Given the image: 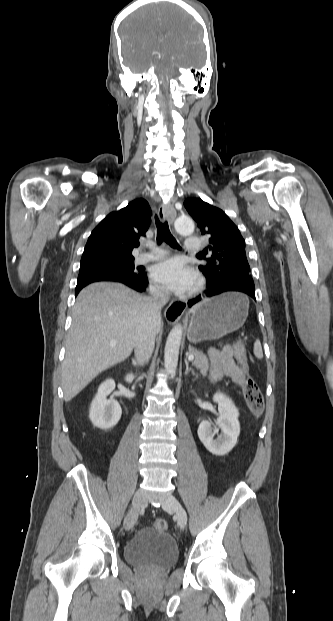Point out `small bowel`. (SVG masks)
<instances>
[{
  "label": "small bowel",
  "instance_id": "1",
  "mask_svg": "<svg viewBox=\"0 0 333 621\" xmlns=\"http://www.w3.org/2000/svg\"><path fill=\"white\" fill-rule=\"evenodd\" d=\"M209 357L211 364L209 378L212 382H217L224 377H229L239 386L244 385L243 372L232 359L229 349L226 348L222 351L211 350L209 352Z\"/></svg>",
  "mask_w": 333,
  "mask_h": 621
}]
</instances>
